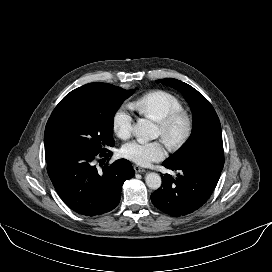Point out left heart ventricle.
I'll list each match as a JSON object with an SVG mask.
<instances>
[{
    "label": "left heart ventricle",
    "mask_w": 272,
    "mask_h": 272,
    "mask_svg": "<svg viewBox=\"0 0 272 272\" xmlns=\"http://www.w3.org/2000/svg\"><path fill=\"white\" fill-rule=\"evenodd\" d=\"M182 132V124H178L174 127V129L172 130V136L176 137L178 136L180 133ZM158 134L161 136L162 135V131L160 129V127H158Z\"/></svg>",
    "instance_id": "b2bd125f"
}]
</instances>
